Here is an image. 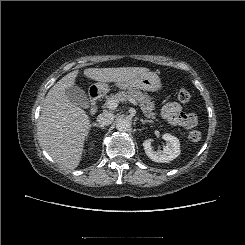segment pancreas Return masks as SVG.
<instances>
[{
    "label": "pancreas",
    "mask_w": 245,
    "mask_h": 245,
    "mask_svg": "<svg viewBox=\"0 0 245 245\" xmlns=\"http://www.w3.org/2000/svg\"><path fill=\"white\" fill-rule=\"evenodd\" d=\"M128 98H133L135 99L139 105L140 108L144 114L145 117L151 118L153 120L156 119V113L154 112L155 110V104L152 101V98L144 93H142L139 90H129V91H121L116 93L115 95H111L107 98V102L110 100H117L118 102L125 101Z\"/></svg>",
    "instance_id": "cf45deb5"
}]
</instances>
